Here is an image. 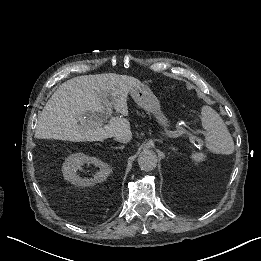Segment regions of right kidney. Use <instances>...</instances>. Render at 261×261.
<instances>
[{"instance_id":"right-kidney-1","label":"right kidney","mask_w":261,"mask_h":261,"mask_svg":"<svg viewBox=\"0 0 261 261\" xmlns=\"http://www.w3.org/2000/svg\"><path fill=\"white\" fill-rule=\"evenodd\" d=\"M87 162H90L100 168L99 172H97L92 179H83L76 173L77 170ZM62 169L64 179L79 187H89L95 185L96 183L103 182L109 176L111 171L107 163H104L95 157H87L82 153L69 156L63 163Z\"/></svg>"}]
</instances>
